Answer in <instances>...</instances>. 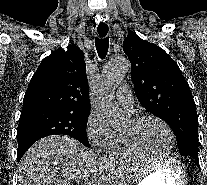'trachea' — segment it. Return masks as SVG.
<instances>
[{
	"mask_svg": "<svg viewBox=\"0 0 207 185\" xmlns=\"http://www.w3.org/2000/svg\"><path fill=\"white\" fill-rule=\"evenodd\" d=\"M97 31L100 37L104 38H97L96 37V50L100 58H104L107 55L108 47H109V37H107L108 33V25L106 23L101 22L98 25Z\"/></svg>",
	"mask_w": 207,
	"mask_h": 185,
	"instance_id": "3493384b",
	"label": "trachea"
}]
</instances>
